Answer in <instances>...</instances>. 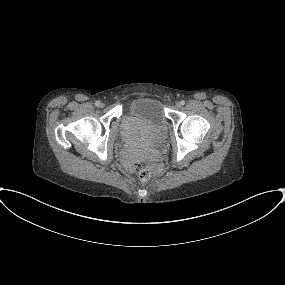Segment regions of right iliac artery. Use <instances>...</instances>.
I'll return each mask as SVG.
<instances>
[{
  "label": "right iliac artery",
  "mask_w": 285,
  "mask_h": 285,
  "mask_svg": "<svg viewBox=\"0 0 285 285\" xmlns=\"http://www.w3.org/2000/svg\"><path fill=\"white\" fill-rule=\"evenodd\" d=\"M99 104H100V101H96V102H95V105H96V106H99Z\"/></svg>",
  "instance_id": "right-iliac-artery-1"
}]
</instances>
